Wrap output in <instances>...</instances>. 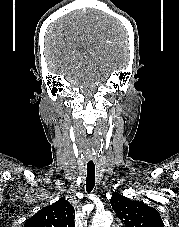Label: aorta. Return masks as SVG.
Instances as JSON below:
<instances>
[{
  "mask_svg": "<svg viewBox=\"0 0 179 227\" xmlns=\"http://www.w3.org/2000/svg\"><path fill=\"white\" fill-rule=\"evenodd\" d=\"M113 215L109 211L98 212L95 214L91 227H110Z\"/></svg>",
  "mask_w": 179,
  "mask_h": 227,
  "instance_id": "762f6f07",
  "label": "aorta"
}]
</instances>
